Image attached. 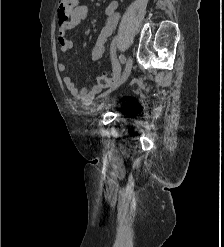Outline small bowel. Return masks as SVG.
<instances>
[{
    "mask_svg": "<svg viewBox=\"0 0 224 247\" xmlns=\"http://www.w3.org/2000/svg\"><path fill=\"white\" fill-rule=\"evenodd\" d=\"M118 9V2L116 0L111 1L106 9L105 14L107 16L105 25L100 30L93 46L91 49V58L92 60H99L105 51V47L107 44V41L109 37L111 36L112 32L116 28L120 14L117 11ZM89 14V9L86 5H79L74 10L73 14L69 18V20L66 22L64 26H60L58 34H57V42L59 44L60 50L63 53L69 52L73 44L66 36V31L68 29H73L77 27L82 21H84ZM58 69L60 72L66 71V65L64 63H60L58 65ZM64 85L66 86L67 90L70 92L71 96L75 100L79 101H88L95 97L97 94H99L102 91V86L95 85L90 89L83 88L81 90H78L72 80L69 76L63 77Z\"/></svg>",
    "mask_w": 224,
    "mask_h": 247,
    "instance_id": "obj_1",
    "label": "small bowel"
}]
</instances>
